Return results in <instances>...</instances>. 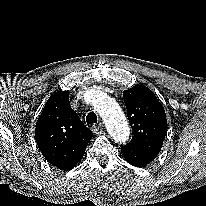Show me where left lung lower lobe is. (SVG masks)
<instances>
[{"label": "left lung lower lobe", "mask_w": 206, "mask_h": 206, "mask_svg": "<svg viewBox=\"0 0 206 206\" xmlns=\"http://www.w3.org/2000/svg\"><path fill=\"white\" fill-rule=\"evenodd\" d=\"M122 152L125 160L129 164L140 168L148 165L151 161H153L157 157V154L154 153L140 152V151H135L123 147H122Z\"/></svg>", "instance_id": "left-lung-lower-lobe-1"}]
</instances>
